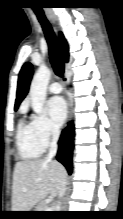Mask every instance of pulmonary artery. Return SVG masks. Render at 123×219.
<instances>
[{"label":"pulmonary artery","mask_w":123,"mask_h":219,"mask_svg":"<svg viewBox=\"0 0 123 219\" xmlns=\"http://www.w3.org/2000/svg\"><path fill=\"white\" fill-rule=\"evenodd\" d=\"M48 91L52 94H58L62 91V86L58 82H53L49 85Z\"/></svg>","instance_id":"obj_1"}]
</instances>
